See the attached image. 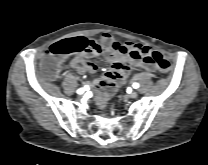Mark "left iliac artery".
<instances>
[{"label": "left iliac artery", "mask_w": 208, "mask_h": 165, "mask_svg": "<svg viewBox=\"0 0 208 165\" xmlns=\"http://www.w3.org/2000/svg\"><path fill=\"white\" fill-rule=\"evenodd\" d=\"M133 87L136 89V88L139 87V84H138V83H134V84H133Z\"/></svg>", "instance_id": "obj_1"}]
</instances>
